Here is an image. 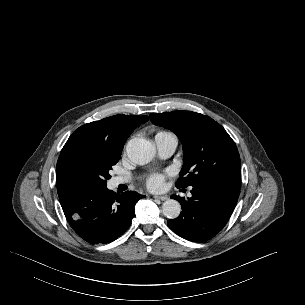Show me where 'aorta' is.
I'll return each mask as SVG.
<instances>
[{
	"label": "aorta",
	"mask_w": 305,
	"mask_h": 305,
	"mask_svg": "<svg viewBox=\"0 0 305 305\" xmlns=\"http://www.w3.org/2000/svg\"><path fill=\"white\" fill-rule=\"evenodd\" d=\"M126 153L133 163L145 165L153 159L156 149L151 142L134 138L127 143ZM162 212L167 218L175 219L180 215L181 205L174 199H168L162 205Z\"/></svg>",
	"instance_id": "1"
}]
</instances>
